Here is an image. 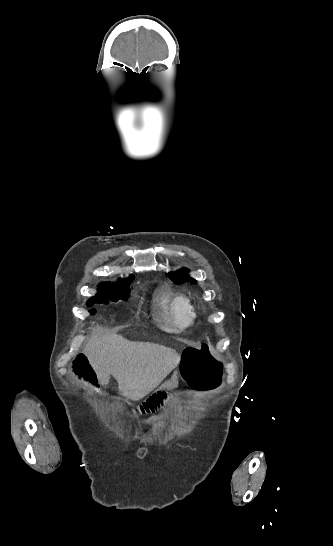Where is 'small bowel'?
Listing matches in <instances>:
<instances>
[{"instance_id":"1","label":"small bowel","mask_w":333,"mask_h":546,"mask_svg":"<svg viewBox=\"0 0 333 546\" xmlns=\"http://www.w3.org/2000/svg\"><path fill=\"white\" fill-rule=\"evenodd\" d=\"M177 374H178V373L175 371V372L173 373V375H171L170 379H165L163 382L160 381L158 384H159L160 386L163 385L165 388H170V389L176 388L177 385H178L177 379L179 378V377L177 376ZM160 386L156 387V389H155L156 392H158V393L162 392V390H163L162 387H160ZM155 410H156V409H154V411H155ZM154 411H151V412H154ZM153 419H154L155 421H158V420H159V417H158V416H155Z\"/></svg>"}]
</instances>
